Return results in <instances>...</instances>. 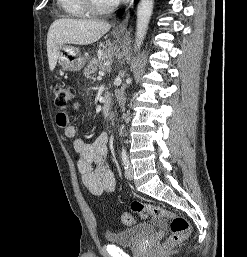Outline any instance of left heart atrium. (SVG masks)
Returning a JSON list of instances; mask_svg holds the SVG:
<instances>
[{
	"mask_svg": "<svg viewBox=\"0 0 247 257\" xmlns=\"http://www.w3.org/2000/svg\"><path fill=\"white\" fill-rule=\"evenodd\" d=\"M113 1H115V2H119V1H122V0H113Z\"/></svg>",
	"mask_w": 247,
	"mask_h": 257,
	"instance_id": "39dd6f15",
	"label": "left heart atrium"
}]
</instances>
